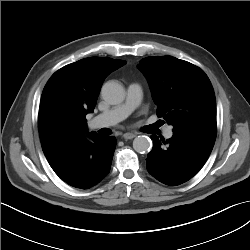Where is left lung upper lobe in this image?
I'll return each mask as SVG.
<instances>
[{
    "mask_svg": "<svg viewBox=\"0 0 250 250\" xmlns=\"http://www.w3.org/2000/svg\"><path fill=\"white\" fill-rule=\"evenodd\" d=\"M138 68L149 82L158 117L173 132L217 131L214 90L199 67L172 56H150Z\"/></svg>",
    "mask_w": 250,
    "mask_h": 250,
    "instance_id": "obj_1",
    "label": "left lung upper lobe"
}]
</instances>
